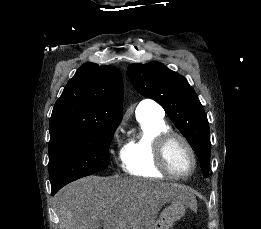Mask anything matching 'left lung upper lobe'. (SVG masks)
<instances>
[{
	"label": "left lung upper lobe",
	"instance_id": "5c2ea615",
	"mask_svg": "<svg viewBox=\"0 0 261 229\" xmlns=\"http://www.w3.org/2000/svg\"><path fill=\"white\" fill-rule=\"evenodd\" d=\"M134 88L154 99L185 136L200 159L207 178L210 166V132L205 111L187 80L159 62L131 64L127 69Z\"/></svg>",
	"mask_w": 261,
	"mask_h": 229
}]
</instances>
